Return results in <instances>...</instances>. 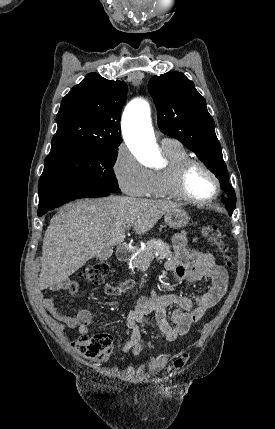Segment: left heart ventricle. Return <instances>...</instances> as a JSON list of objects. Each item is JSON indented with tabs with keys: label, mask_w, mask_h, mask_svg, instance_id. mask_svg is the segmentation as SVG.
Instances as JSON below:
<instances>
[{
	"label": "left heart ventricle",
	"mask_w": 275,
	"mask_h": 429,
	"mask_svg": "<svg viewBox=\"0 0 275 429\" xmlns=\"http://www.w3.org/2000/svg\"><path fill=\"white\" fill-rule=\"evenodd\" d=\"M187 193L198 200L210 198L215 192V183L211 176L201 167H193L185 181Z\"/></svg>",
	"instance_id": "1"
}]
</instances>
